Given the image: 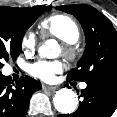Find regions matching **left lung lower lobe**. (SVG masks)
<instances>
[{
    "label": "left lung lower lobe",
    "instance_id": "left-lung-lower-lobe-1",
    "mask_svg": "<svg viewBox=\"0 0 117 117\" xmlns=\"http://www.w3.org/2000/svg\"><path fill=\"white\" fill-rule=\"evenodd\" d=\"M86 83L77 111L58 117H111L117 108V77H100Z\"/></svg>",
    "mask_w": 117,
    "mask_h": 117
}]
</instances>
